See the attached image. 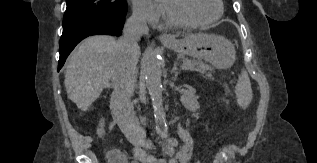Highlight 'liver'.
<instances>
[{"instance_id": "liver-1", "label": "liver", "mask_w": 317, "mask_h": 163, "mask_svg": "<svg viewBox=\"0 0 317 163\" xmlns=\"http://www.w3.org/2000/svg\"><path fill=\"white\" fill-rule=\"evenodd\" d=\"M118 42L107 35L91 36L69 58L65 88L69 99L82 111H86L109 86L118 59ZM139 55L140 48L137 57Z\"/></svg>"}]
</instances>
